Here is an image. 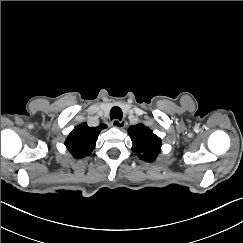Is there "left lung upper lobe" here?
Instances as JSON below:
<instances>
[{
  "label": "left lung upper lobe",
  "mask_w": 243,
  "mask_h": 243,
  "mask_svg": "<svg viewBox=\"0 0 243 243\" xmlns=\"http://www.w3.org/2000/svg\"><path fill=\"white\" fill-rule=\"evenodd\" d=\"M129 135L133 142L132 150L144 161L152 162L161 151V139L143 124L129 127Z\"/></svg>",
  "instance_id": "left-lung-upper-lobe-1"
}]
</instances>
